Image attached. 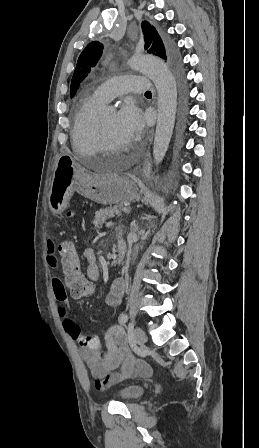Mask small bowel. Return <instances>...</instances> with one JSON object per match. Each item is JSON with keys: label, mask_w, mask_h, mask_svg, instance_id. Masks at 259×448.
Listing matches in <instances>:
<instances>
[{"label": "small bowel", "mask_w": 259, "mask_h": 448, "mask_svg": "<svg viewBox=\"0 0 259 448\" xmlns=\"http://www.w3.org/2000/svg\"><path fill=\"white\" fill-rule=\"evenodd\" d=\"M47 247L49 252L48 263L51 266H55L56 259L52 255L54 251L53 242L49 241ZM85 256L90 263L87 270L88 276L90 279L95 280L98 277V268L95 264L93 251L87 249ZM52 286L55 298L60 304L58 312L63 319V327L71 338L80 343L83 335L81 334L80 325L71 315V307L65 287L58 278H53ZM124 288L125 284L122 279L115 280L105 296L106 305L110 307L118 306ZM105 339L106 348L104 351L90 350L84 346L80 349V356L90 370L91 375L96 379V388L98 390H104L123 379L151 374L152 369L146 361L130 354L126 346L125 333L119 326L110 327L106 332ZM101 354H104L105 358L102 359ZM115 370H119V372H114Z\"/></svg>", "instance_id": "obj_1"}]
</instances>
